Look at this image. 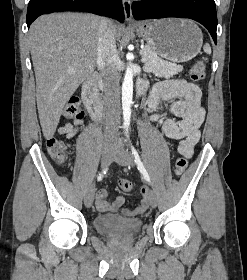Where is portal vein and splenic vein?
I'll return each mask as SVG.
<instances>
[{"label":"portal vein and splenic vein","instance_id":"portal-vein-and-splenic-vein-1","mask_svg":"<svg viewBox=\"0 0 247 280\" xmlns=\"http://www.w3.org/2000/svg\"><path fill=\"white\" fill-rule=\"evenodd\" d=\"M141 55H142L141 61H142V62H146L148 59H147L146 57H144V54L142 53V51H141Z\"/></svg>","mask_w":247,"mask_h":280}]
</instances>
